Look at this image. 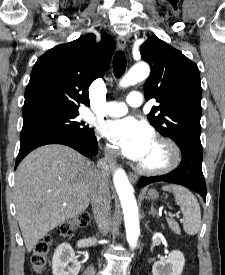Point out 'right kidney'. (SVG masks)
<instances>
[{
	"label": "right kidney",
	"instance_id": "ca27d5eb",
	"mask_svg": "<svg viewBox=\"0 0 225 275\" xmlns=\"http://www.w3.org/2000/svg\"><path fill=\"white\" fill-rule=\"evenodd\" d=\"M81 265L69 243L60 244L53 255V275H78Z\"/></svg>",
	"mask_w": 225,
	"mask_h": 275
}]
</instances>
